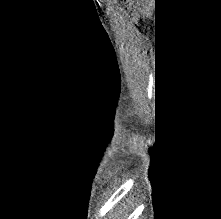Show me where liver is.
<instances>
[{"label": "liver", "instance_id": "1", "mask_svg": "<svg viewBox=\"0 0 221 219\" xmlns=\"http://www.w3.org/2000/svg\"><path fill=\"white\" fill-rule=\"evenodd\" d=\"M117 219H124V217H127V210L122 209L120 212L116 215Z\"/></svg>", "mask_w": 221, "mask_h": 219}]
</instances>
